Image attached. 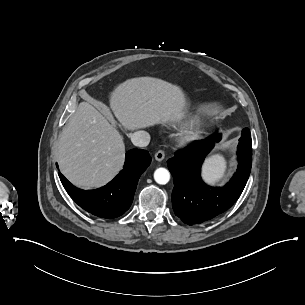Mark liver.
Returning a JSON list of instances; mask_svg holds the SVG:
<instances>
[{
  "mask_svg": "<svg viewBox=\"0 0 305 305\" xmlns=\"http://www.w3.org/2000/svg\"><path fill=\"white\" fill-rule=\"evenodd\" d=\"M183 97L168 83L130 80L114 95L112 108L129 127L175 121L183 113ZM124 144L119 131L93 105L81 102L63 129L58 162L65 177L81 188L104 185L122 167Z\"/></svg>",
  "mask_w": 305,
  "mask_h": 305,
  "instance_id": "liver-1",
  "label": "liver"
}]
</instances>
